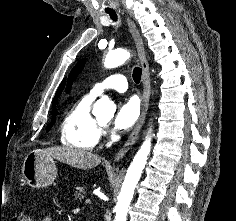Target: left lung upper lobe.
<instances>
[{"instance_id": "1", "label": "left lung upper lobe", "mask_w": 236, "mask_h": 221, "mask_svg": "<svg viewBox=\"0 0 236 221\" xmlns=\"http://www.w3.org/2000/svg\"><path fill=\"white\" fill-rule=\"evenodd\" d=\"M85 64V59L79 61L75 67L73 68V70L71 71L70 75H69V80H68V87H67V92L70 91V87L72 84V81L78 76V74L82 71L83 67Z\"/></svg>"}]
</instances>
